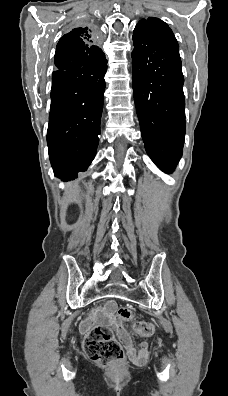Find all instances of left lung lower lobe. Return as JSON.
Returning a JSON list of instances; mask_svg holds the SVG:
<instances>
[{"label": "left lung lower lobe", "mask_w": 228, "mask_h": 396, "mask_svg": "<svg viewBox=\"0 0 228 396\" xmlns=\"http://www.w3.org/2000/svg\"><path fill=\"white\" fill-rule=\"evenodd\" d=\"M133 90L147 154L165 173L174 171L185 137L184 78L178 43L160 33L134 37Z\"/></svg>", "instance_id": "obj_1"}]
</instances>
